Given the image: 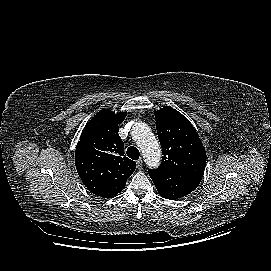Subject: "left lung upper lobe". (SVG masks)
<instances>
[{"instance_id":"obj_1","label":"left lung upper lobe","mask_w":271,"mask_h":271,"mask_svg":"<svg viewBox=\"0 0 271 271\" xmlns=\"http://www.w3.org/2000/svg\"><path fill=\"white\" fill-rule=\"evenodd\" d=\"M156 129L162 147L161 165L148 170L159 194L170 190L175 178L196 186L206 165V151L189 120L171 107L155 113Z\"/></svg>"}]
</instances>
